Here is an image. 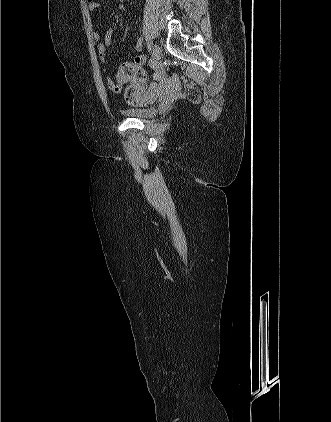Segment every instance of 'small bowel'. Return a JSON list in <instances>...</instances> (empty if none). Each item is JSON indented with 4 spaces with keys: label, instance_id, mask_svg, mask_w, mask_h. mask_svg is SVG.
Wrapping results in <instances>:
<instances>
[{
    "label": "small bowel",
    "instance_id": "1",
    "mask_svg": "<svg viewBox=\"0 0 331 422\" xmlns=\"http://www.w3.org/2000/svg\"><path fill=\"white\" fill-rule=\"evenodd\" d=\"M88 1V10L91 13L99 12L101 9V5L96 0H87ZM112 2L116 5L118 10L121 12H126L127 8L125 6V0H112ZM114 33L113 28H109L105 35L102 36L99 32H93L92 37L96 42V48L98 52V56L101 60L106 58L107 48L111 45L112 36ZM143 41L141 39H137L135 42V49L141 51L143 49ZM146 62L145 55H138L134 58L133 63L137 66H141ZM156 77L160 78L161 73L159 71L156 72ZM125 83H130L129 87L132 86L134 89L137 90L138 98L135 101H128L133 105H144L148 102L152 101L154 97L159 92L160 86L158 83H153L151 87L148 88L147 86V79L146 75L143 79L140 80H129L126 82H115L112 79L107 81V85L111 91L114 93H121L123 91V86ZM126 92V91H125Z\"/></svg>",
    "mask_w": 331,
    "mask_h": 422
}]
</instances>
